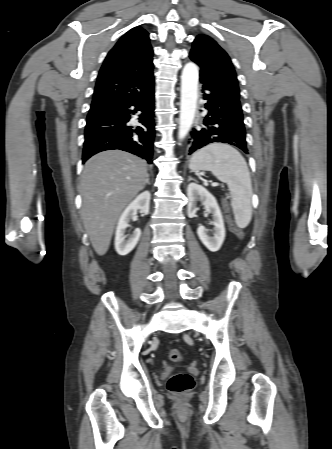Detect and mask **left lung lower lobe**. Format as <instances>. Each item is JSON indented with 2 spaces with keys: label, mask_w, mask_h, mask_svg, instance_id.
<instances>
[{
  "label": "left lung lower lobe",
  "mask_w": 332,
  "mask_h": 449,
  "mask_svg": "<svg viewBox=\"0 0 332 449\" xmlns=\"http://www.w3.org/2000/svg\"><path fill=\"white\" fill-rule=\"evenodd\" d=\"M201 82L208 112L203 125L190 132L189 154L211 143H227L248 153L240 101L211 83Z\"/></svg>",
  "instance_id": "0a47b994"
}]
</instances>
